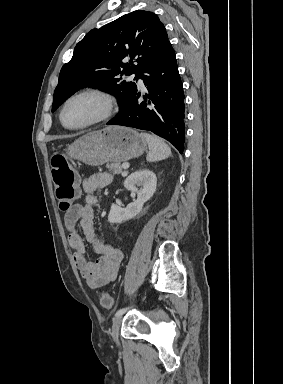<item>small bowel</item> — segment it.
I'll list each match as a JSON object with an SVG mask.
<instances>
[{
  "instance_id": "1",
  "label": "small bowel",
  "mask_w": 283,
  "mask_h": 384,
  "mask_svg": "<svg viewBox=\"0 0 283 384\" xmlns=\"http://www.w3.org/2000/svg\"><path fill=\"white\" fill-rule=\"evenodd\" d=\"M111 181L112 176L104 172H95L84 178L82 181V189L86 194L84 203L73 205L64 216L68 243L73 250L74 264L92 289L101 288L112 282L117 276L123 258L121 250L103 243L94 229L96 193ZM81 234L99 255L95 261H89L86 258V246Z\"/></svg>"
}]
</instances>
